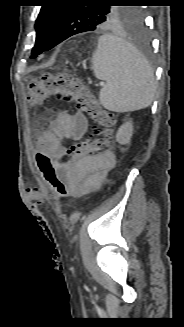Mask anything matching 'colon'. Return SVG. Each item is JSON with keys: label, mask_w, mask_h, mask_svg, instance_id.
Masks as SVG:
<instances>
[{"label": "colon", "mask_w": 184, "mask_h": 327, "mask_svg": "<svg viewBox=\"0 0 184 327\" xmlns=\"http://www.w3.org/2000/svg\"><path fill=\"white\" fill-rule=\"evenodd\" d=\"M51 98L73 102L79 112L89 115L94 121L88 138L70 147L71 152L76 151L81 156H89L107 150L113 136L114 115L102 108L90 89L79 78L68 73L46 72L30 82L27 94L29 103L38 105ZM37 162L45 180L57 195L62 199L72 197L71 189L61 175L65 157L59 155L50 158L41 154Z\"/></svg>", "instance_id": "obj_1"}]
</instances>
